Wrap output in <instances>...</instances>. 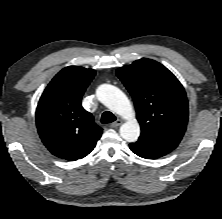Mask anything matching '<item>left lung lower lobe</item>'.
<instances>
[{
	"instance_id": "1",
	"label": "left lung lower lobe",
	"mask_w": 222,
	"mask_h": 219,
	"mask_svg": "<svg viewBox=\"0 0 222 219\" xmlns=\"http://www.w3.org/2000/svg\"><path fill=\"white\" fill-rule=\"evenodd\" d=\"M130 149L136 155L145 159H156L162 157L172 151V149L151 144L145 141L138 140L135 143H130Z\"/></svg>"
}]
</instances>
